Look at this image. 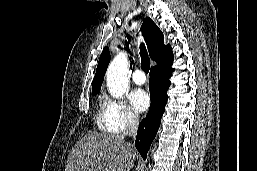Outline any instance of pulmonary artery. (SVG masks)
Listing matches in <instances>:
<instances>
[{
  "instance_id": "1",
  "label": "pulmonary artery",
  "mask_w": 257,
  "mask_h": 171,
  "mask_svg": "<svg viewBox=\"0 0 257 171\" xmlns=\"http://www.w3.org/2000/svg\"><path fill=\"white\" fill-rule=\"evenodd\" d=\"M132 80L137 85H143L146 82L145 74L142 70H136L134 71L132 75Z\"/></svg>"
}]
</instances>
